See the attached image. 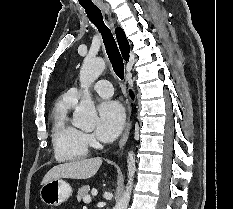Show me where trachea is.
<instances>
[{
	"mask_svg": "<svg viewBox=\"0 0 233 209\" xmlns=\"http://www.w3.org/2000/svg\"><path fill=\"white\" fill-rule=\"evenodd\" d=\"M89 20L98 28L103 37V42L106 48V53L112 64L115 74L123 80L124 78V63L117 47L116 41L110 29L104 24L102 13L96 6H83Z\"/></svg>",
	"mask_w": 233,
	"mask_h": 209,
	"instance_id": "obj_1",
	"label": "trachea"
}]
</instances>
